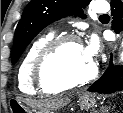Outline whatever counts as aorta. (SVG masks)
Instances as JSON below:
<instances>
[{
    "label": "aorta",
    "mask_w": 123,
    "mask_h": 113,
    "mask_svg": "<svg viewBox=\"0 0 123 113\" xmlns=\"http://www.w3.org/2000/svg\"><path fill=\"white\" fill-rule=\"evenodd\" d=\"M121 46H122V48H123V41H122ZM120 57H121V61H123V51H122V53H121Z\"/></svg>",
    "instance_id": "aorta-1"
}]
</instances>
